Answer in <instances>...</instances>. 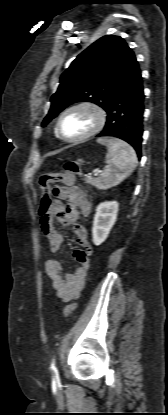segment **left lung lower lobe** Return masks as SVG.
<instances>
[{"mask_svg": "<svg viewBox=\"0 0 168 415\" xmlns=\"http://www.w3.org/2000/svg\"><path fill=\"white\" fill-rule=\"evenodd\" d=\"M143 102L142 77L137 66L105 109L107 112L106 125L97 137L114 136L120 138L133 146L140 158L143 134Z\"/></svg>", "mask_w": 168, "mask_h": 415, "instance_id": "left-lung-lower-lobe-1", "label": "left lung lower lobe"}]
</instances>
